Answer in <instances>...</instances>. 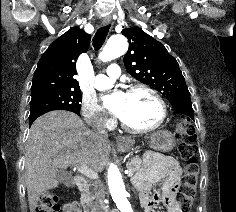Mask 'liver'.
I'll return each mask as SVG.
<instances>
[{"label": "liver", "mask_w": 236, "mask_h": 212, "mask_svg": "<svg viewBox=\"0 0 236 212\" xmlns=\"http://www.w3.org/2000/svg\"><path fill=\"white\" fill-rule=\"evenodd\" d=\"M108 139L90 131L81 118L68 111H51L31 126L25 154V182L30 212L40 195L59 185L56 175L69 166L85 165L102 171L108 162Z\"/></svg>", "instance_id": "6515ba94"}]
</instances>
